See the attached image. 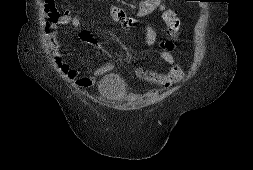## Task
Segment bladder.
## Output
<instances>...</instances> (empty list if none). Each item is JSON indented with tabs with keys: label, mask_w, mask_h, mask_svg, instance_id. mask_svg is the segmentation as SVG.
I'll return each mask as SVG.
<instances>
[{
	"label": "bladder",
	"mask_w": 253,
	"mask_h": 170,
	"mask_svg": "<svg viewBox=\"0 0 253 170\" xmlns=\"http://www.w3.org/2000/svg\"><path fill=\"white\" fill-rule=\"evenodd\" d=\"M99 93L108 100L117 101L124 97L127 86L118 73H108L99 81Z\"/></svg>",
	"instance_id": "1"
}]
</instances>
